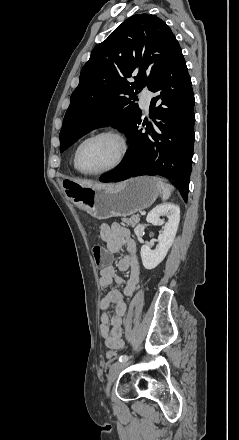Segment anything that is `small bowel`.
<instances>
[{"instance_id":"small-bowel-1","label":"small bowel","mask_w":239,"mask_h":440,"mask_svg":"<svg viewBox=\"0 0 239 440\" xmlns=\"http://www.w3.org/2000/svg\"><path fill=\"white\" fill-rule=\"evenodd\" d=\"M100 235L106 243V252L110 257L107 266L100 270L99 284L102 288L109 289L113 283L123 285V292L116 289H109L101 298L99 306L102 310L100 317V331L105 340V344L112 350L120 349L123 346L122 323L126 313L127 305L124 296L134 294L140 280V263L137 253V246L129 230L119 224H103ZM126 247L127 254L122 257L117 267L120 271L129 272V276L123 279L118 275L115 267L111 264L112 254ZM114 305L115 313L110 315L108 309Z\"/></svg>"}]
</instances>
